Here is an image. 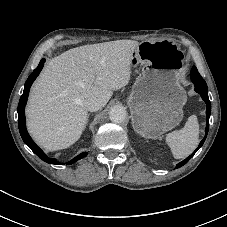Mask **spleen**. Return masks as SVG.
Here are the masks:
<instances>
[{"instance_id": "obj_1", "label": "spleen", "mask_w": 227, "mask_h": 227, "mask_svg": "<svg viewBox=\"0 0 227 227\" xmlns=\"http://www.w3.org/2000/svg\"><path fill=\"white\" fill-rule=\"evenodd\" d=\"M166 142L171 148L174 158L181 159L189 156L199 143L197 116L191 115L181 130L168 133Z\"/></svg>"}]
</instances>
